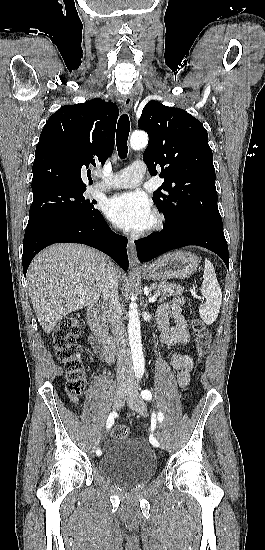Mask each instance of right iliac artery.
<instances>
[{"label":"right iliac artery","instance_id":"1","mask_svg":"<svg viewBox=\"0 0 265 550\" xmlns=\"http://www.w3.org/2000/svg\"><path fill=\"white\" fill-rule=\"evenodd\" d=\"M116 416H117V413H116V412L110 413V415H109V417H108V419H107V423H106V427H107L108 429L111 428L112 425L114 424V419L116 418ZM101 453H102V452H101V450H99V449L96 451V454H97V455H100Z\"/></svg>","mask_w":265,"mask_h":550}]
</instances>
